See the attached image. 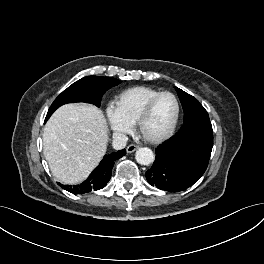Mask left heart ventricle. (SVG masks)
<instances>
[{"instance_id":"1","label":"left heart ventricle","mask_w":264,"mask_h":264,"mask_svg":"<svg viewBox=\"0 0 264 264\" xmlns=\"http://www.w3.org/2000/svg\"><path fill=\"white\" fill-rule=\"evenodd\" d=\"M176 113L174 99L165 95L155 103L150 116L145 121L142 132L146 136H158L164 133L171 125Z\"/></svg>"}]
</instances>
